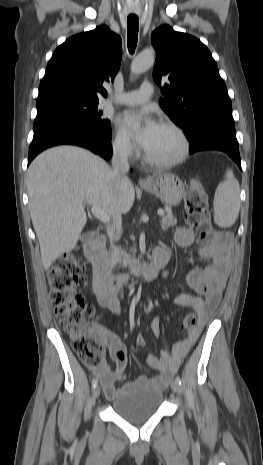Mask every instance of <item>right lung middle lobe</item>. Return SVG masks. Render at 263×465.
I'll list each match as a JSON object with an SVG mask.
<instances>
[{
    "instance_id": "1",
    "label": "right lung middle lobe",
    "mask_w": 263,
    "mask_h": 465,
    "mask_svg": "<svg viewBox=\"0 0 263 465\" xmlns=\"http://www.w3.org/2000/svg\"><path fill=\"white\" fill-rule=\"evenodd\" d=\"M99 100L76 96H58L37 101L34 131L56 124H73L98 133L111 130L109 120L97 110Z\"/></svg>"
}]
</instances>
